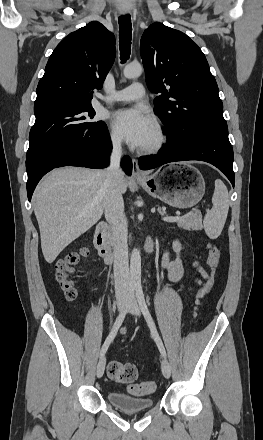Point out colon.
Returning a JSON list of instances; mask_svg holds the SVG:
<instances>
[{
  "instance_id": "5ec220e1",
  "label": "colon",
  "mask_w": 263,
  "mask_h": 440,
  "mask_svg": "<svg viewBox=\"0 0 263 440\" xmlns=\"http://www.w3.org/2000/svg\"><path fill=\"white\" fill-rule=\"evenodd\" d=\"M208 251L209 256L207 259V265L211 271V277L200 290L198 294V303L204 300L210 293L213 282L212 276L217 270L220 261V249L216 245L209 244ZM79 261L80 255L74 253L66 256L56 264L55 279L68 300H74L77 297V290L72 281V274ZM138 372V367L134 363L110 361L107 365L108 377L118 383H131L137 378ZM155 389L156 384L154 382L144 381L131 385L129 391L133 395H142L154 392Z\"/></svg>"
}]
</instances>
